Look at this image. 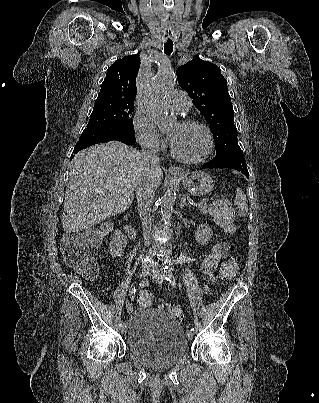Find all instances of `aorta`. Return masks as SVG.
<instances>
[{"label":"aorta","mask_w":319,"mask_h":403,"mask_svg":"<svg viewBox=\"0 0 319 403\" xmlns=\"http://www.w3.org/2000/svg\"><path fill=\"white\" fill-rule=\"evenodd\" d=\"M176 82L175 75L169 69L159 70L156 76L148 83L145 92V105L149 118L159 127L168 122L165 99L169 90ZM176 200V191L169 189L161 198V214L165 225H170L173 206Z\"/></svg>","instance_id":"obj_1"}]
</instances>
